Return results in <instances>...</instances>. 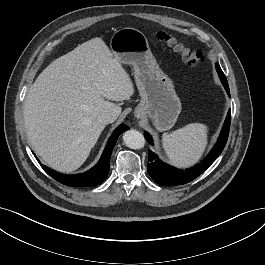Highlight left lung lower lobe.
Masks as SVG:
<instances>
[{
	"label": "left lung lower lobe",
	"instance_id": "obj_1",
	"mask_svg": "<svg viewBox=\"0 0 265 265\" xmlns=\"http://www.w3.org/2000/svg\"><path fill=\"white\" fill-rule=\"evenodd\" d=\"M216 70L228 95L230 96L228 82L218 64H216ZM230 121L231 111H229L227 114L220 136L211 152L201 164H198L191 169L179 170L177 168L169 166L168 164L162 162L152 151H149V163L147 164V171L149 175L157 184L161 186L183 185L192 181L200 174H202L223 151L229 135ZM144 136L148 143L152 145L153 141L149 133L145 132Z\"/></svg>",
	"mask_w": 265,
	"mask_h": 265
}]
</instances>
